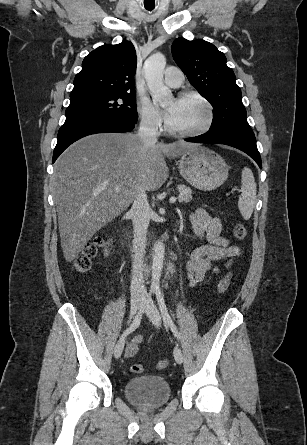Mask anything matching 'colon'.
Masks as SVG:
<instances>
[{
    "label": "colon",
    "instance_id": "colon-1",
    "mask_svg": "<svg viewBox=\"0 0 307 445\" xmlns=\"http://www.w3.org/2000/svg\"><path fill=\"white\" fill-rule=\"evenodd\" d=\"M233 235L239 241L245 239V237L247 235L246 227L241 223L236 224L233 227ZM101 244H102V240L98 238V239L93 240L91 243H89L85 247L83 254L80 257H78L75 262L76 269L79 272H86L91 268L92 260L97 256ZM230 279H231V275L226 274L219 281L218 292L220 294H224L228 290L229 285H230ZM166 366H167L166 360H161L157 363V368L162 369V368H165ZM130 370L133 373H142L144 371V367L139 364H134L131 366Z\"/></svg>",
    "mask_w": 307,
    "mask_h": 445
}]
</instances>
